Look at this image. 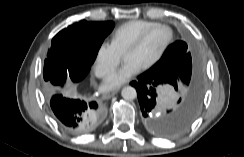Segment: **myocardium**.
Returning <instances> with one entry per match:
<instances>
[{"instance_id":"obj_1","label":"myocardium","mask_w":244,"mask_h":157,"mask_svg":"<svg viewBox=\"0 0 244 157\" xmlns=\"http://www.w3.org/2000/svg\"><path fill=\"white\" fill-rule=\"evenodd\" d=\"M156 29H165L167 30L169 36L168 39L165 43V45L163 46V48L161 49V51L159 52V54L149 63H147L146 65H144L141 70L142 71H147L151 68H153L154 66H156L165 56V54L167 53L168 49L170 48L171 44L174 41V31L173 29L165 24H156L146 30H144L143 32H141L128 46L127 48L124 50L123 52V57L127 52L133 51L135 49H137L138 47L141 46V44L144 42V40L146 39V37L153 32Z\"/></svg>"}]
</instances>
